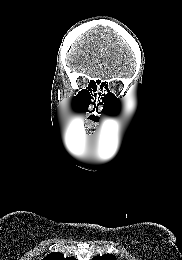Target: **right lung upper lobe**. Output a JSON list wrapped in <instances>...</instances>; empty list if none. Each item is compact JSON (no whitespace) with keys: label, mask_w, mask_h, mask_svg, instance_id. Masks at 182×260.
<instances>
[{"label":"right lung upper lobe","mask_w":182,"mask_h":260,"mask_svg":"<svg viewBox=\"0 0 182 260\" xmlns=\"http://www.w3.org/2000/svg\"><path fill=\"white\" fill-rule=\"evenodd\" d=\"M42 260H76V259L73 257L64 258L62 253L52 252V253L48 254L45 258H43Z\"/></svg>","instance_id":"1"}]
</instances>
